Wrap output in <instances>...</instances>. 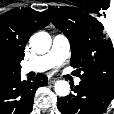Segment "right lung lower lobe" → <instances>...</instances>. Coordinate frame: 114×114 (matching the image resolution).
Returning a JSON list of instances; mask_svg holds the SVG:
<instances>
[{
    "label": "right lung lower lobe",
    "instance_id": "right-lung-lower-lobe-1",
    "mask_svg": "<svg viewBox=\"0 0 114 114\" xmlns=\"http://www.w3.org/2000/svg\"><path fill=\"white\" fill-rule=\"evenodd\" d=\"M47 77L38 74L27 81L21 80L20 72L0 83V114H29L33 97L40 86L47 85Z\"/></svg>",
    "mask_w": 114,
    "mask_h": 114
}]
</instances>
